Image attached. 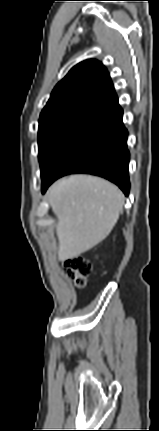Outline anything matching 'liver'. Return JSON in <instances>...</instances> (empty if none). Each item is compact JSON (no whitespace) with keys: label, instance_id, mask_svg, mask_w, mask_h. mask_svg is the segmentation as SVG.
Segmentation results:
<instances>
[{"label":"liver","instance_id":"liver-1","mask_svg":"<svg viewBox=\"0 0 159 431\" xmlns=\"http://www.w3.org/2000/svg\"><path fill=\"white\" fill-rule=\"evenodd\" d=\"M47 199L57 217L58 259L74 258L112 231L124 204L121 190L99 177L72 175L55 182Z\"/></svg>","mask_w":159,"mask_h":431}]
</instances>
